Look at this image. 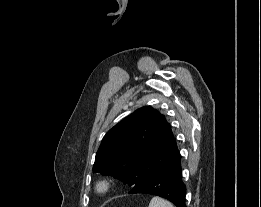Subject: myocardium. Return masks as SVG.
<instances>
[{
    "instance_id": "myocardium-1",
    "label": "myocardium",
    "mask_w": 261,
    "mask_h": 207,
    "mask_svg": "<svg viewBox=\"0 0 261 207\" xmlns=\"http://www.w3.org/2000/svg\"><path fill=\"white\" fill-rule=\"evenodd\" d=\"M110 187H111L110 180L104 178L96 182L95 191L99 195H104L109 191Z\"/></svg>"
}]
</instances>
